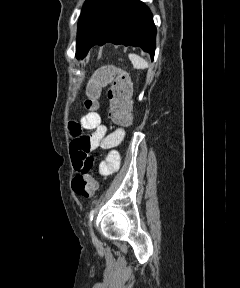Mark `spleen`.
<instances>
[{
  "label": "spleen",
  "instance_id": "1",
  "mask_svg": "<svg viewBox=\"0 0 240 288\" xmlns=\"http://www.w3.org/2000/svg\"><path fill=\"white\" fill-rule=\"evenodd\" d=\"M129 59L131 60L134 68L136 69H145L148 67L147 61L136 54L130 53Z\"/></svg>",
  "mask_w": 240,
  "mask_h": 288
}]
</instances>
